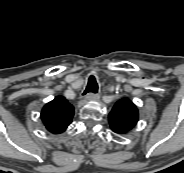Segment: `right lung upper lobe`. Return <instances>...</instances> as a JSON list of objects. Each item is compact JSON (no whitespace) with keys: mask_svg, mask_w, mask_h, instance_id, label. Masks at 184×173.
<instances>
[{"mask_svg":"<svg viewBox=\"0 0 184 173\" xmlns=\"http://www.w3.org/2000/svg\"><path fill=\"white\" fill-rule=\"evenodd\" d=\"M73 115V106L63 96H57L43 107L41 119L49 132L60 134L72 122Z\"/></svg>","mask_w":184,"mask_h":173,"instance_id":"cb5924a9","label":"right lung upper lobe"}]
</instances>
